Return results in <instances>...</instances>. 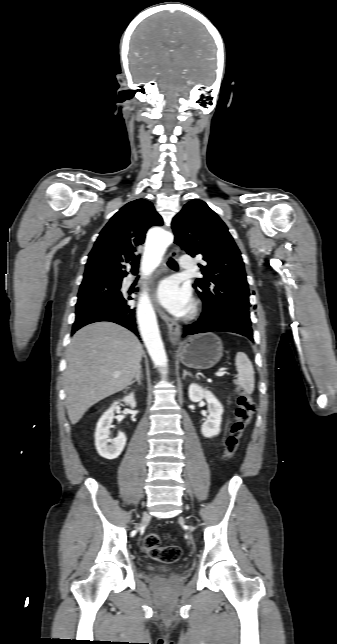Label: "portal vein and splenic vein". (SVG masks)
Returning a JSON list of instances; mask_svg holds the SVG:
<instances>
[{
  "label": "portal vein and splenic vein",
  "mask_w": 337,
  "mask_h": 644,
  "mask_svg": "<svg viewBox=\"0 0 337 644\" xmlns=\"http://www.w3.org/2000/svg\"><path fill=\"white\" fill-rule=\"evenodd\" d=\"M215 375L218 376V377H222V376L225 375V372L224 371H218V372L215 373Z\"/></svg>",
  "instance_id": "1"
}]
</instances>
